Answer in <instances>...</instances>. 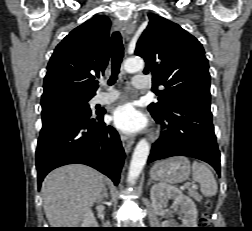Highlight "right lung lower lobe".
<instances>
[{"instance_id":"1","label":"right lung lower lobe","mask_w":252,"mask_h":231,"mask_svg":"<svg viewBox=\"0 0 252 231\" xmlns=\"http://www.w3.org/2000/svg\"><path fill=\"white\" fill-rule=\"evenodd\" d=\"M104 113L62 115L43 123L36 149L39 185L51 170L73 163L89 165L118 184L124 149L117 131L104 123Z\"/></svg>"}]
</instances>
